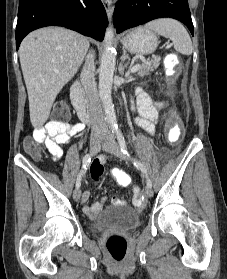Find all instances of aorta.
Wrapping results in <instances>:
<instances>
[{
  "label": "aorta",
  "mask_w": 227,
  "mask_h": 279,
  "mask_svg": "<svg viewBox=\"0 0 227 279\" xmlns=\"http://www.w3.org/2000/svg\"><path fill=\"white\" fill-rule=\"evenodd\" d=\"M113 27H108L104 38V51L101 56L99 69V96L103 103L105 121L112 127H117L114 105L111 97L113 75L115 70L116 56L113 50Z\"/></svg>",
  "instance_id": "1"
}]
</instances>
